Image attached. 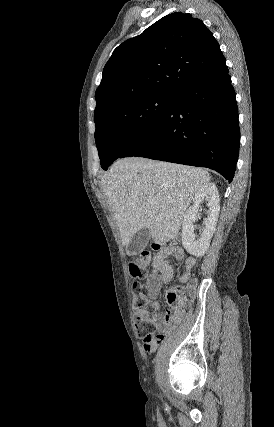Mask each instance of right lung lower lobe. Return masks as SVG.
I'll return each mask as SVG.
<instances>
[{
	"label": "right lung lower lobe",
	"mask_w": 274,
	"mask_h": 427,
	"mask_svg": "<svg viewBox=\"0 0 274 427\" xmlns=\"http://www.w3.org/2000/svg\"><path fill=\"white\" fill-rule=\"evenodd\" d=\"M238 107L228 67L173 95L162 120L121 156L207 167L232 181L238 160Z\"/></svg>",
	"instance_id": "1"
}]
</instances>
